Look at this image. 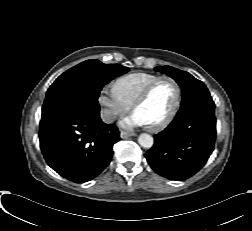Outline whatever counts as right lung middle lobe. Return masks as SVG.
<instances>
[{
	"label": "right lung middle lobe",
	"mask_w": 252,
	"mask_h": 231,
	"mask_svg": "<svg viewBox=\"0 0 252 231\" xmlns=\"http://www.w3.org/2000/svg\"><path fill=\"white\" fill-rule=\"evenodd\" d=\"M129 68L104 64L96 59L84 61L59 76L47 91L42 114L62 106L100 111L98 96L102 87L125 74Z\"/></svg>",
	"instance_id": "dd1d6c3e"
}]
</instances>
